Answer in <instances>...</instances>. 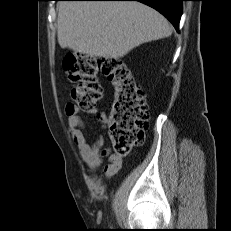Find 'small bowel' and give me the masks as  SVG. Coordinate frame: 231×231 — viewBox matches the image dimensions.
I'll return each instance as SVG.
<instances>
[{
	"label": "small bowel",
	"instance_id": "small-bowel-1",
	"mask_svg": "<svg viewBox=\"0 0 231 231\" xmlns=\"http://www.w3.org/2000/svg\"><path fill=\"white\" fill-rule=\"evenodd\" d=\"M66 113L71 138L78 147L81 159L95 170L103 158L108 156L109 164L104 169V175L107 178L113 176L121 167V158L105 148L104 139L101 136L92 143L87 140L85 125L76 106L67 105ZM92 113L104 126L107 125L108 119L103 112L94 110Z\"/></svg>",
	"mask_w": 231,
	"mask_h": 231
}]
</instances>
